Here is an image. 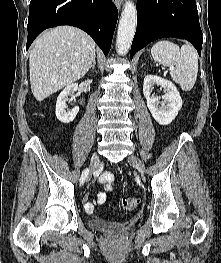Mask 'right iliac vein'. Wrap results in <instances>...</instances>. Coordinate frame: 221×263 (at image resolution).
Listing matches in <instances>:
<instances>
[{
  "mask_svg": "<svg viewBox=\"0 0 221 263\" xmlns=\"http://www.w3.org/2000/svg\"><path fill=\"white\" fill-rule=\"evenodd\" d=\"M99 163H100L99 156L97 153H94L92 155V158H91L90 171H89V175L87 177V180H89L91 178L92 173L96 172V170L99 167Z\"/></svg>",
  "mask_w": 221,
  "mask_h": 263,
  "instance_id": "obj_1",
  "label": "right iliac vein"
}]
</instances>
